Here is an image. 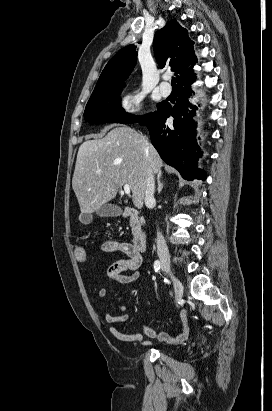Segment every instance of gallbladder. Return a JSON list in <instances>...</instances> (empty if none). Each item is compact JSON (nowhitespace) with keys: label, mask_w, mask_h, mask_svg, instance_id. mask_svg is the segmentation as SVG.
Instances as JSON below:
<instances>
[{"label":"gallbladder","mask_w":272,"mask_h":411,"mask_svg":"<svg viewBox=\"0 0 272 411\" xmlns=\"http://www.w3.org/2000/svg\"><path fill=\"white\" fill-rule=\"evenodd\" d=\"M96 214L100 217H117L122 214V209L117 205L106 203L96 210ZM80 222L86 225L89 224L91 222L90 215L82 214Z\"/></svg>","instance_id":"obj_1"}]
</instances>
